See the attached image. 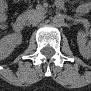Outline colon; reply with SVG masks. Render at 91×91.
I'll use <instances>...</instances> for the list:
<instances>
[{
    "mask_svg": "<svg viewBox=\"0 0 91 91\" xmlns=\"http://www.w3.org/2000/svg\"><path fill=\"white\" fill-rule=\"evenodd\" d=\"M6 10H7V3L6 2H1L0 4V13H4L6 14Z\"/></svg>",
    "mask_w": 91,
    "mask_h": 91,
    "instance_id": "colon-1",
    "label": "colon"
}]
</instances>
